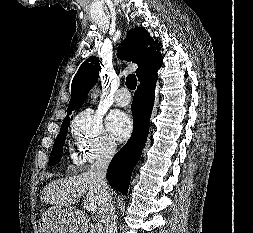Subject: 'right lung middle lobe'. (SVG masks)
Masks as SVG:
<instances>
[{
  "label": "right lung middle lobe",
  "mask_w": 253,
  "mask_h": 233,
  "mask_svg": "<svg viewBox=\"0 0 253 233\" xmlns=\"http://www.w3.org/2000/svg\"><path fill=\"white\" fill-rule=\"evenodd\" d=\"M69 121H70V118L68 117L62 123L60 133L58 134V136L55 140V143H54L51 155H50V159H49L50 166L57 164L61 159V155H62V151H63V144L65 142L67 130L69 127Z\"/></svg>",
  "instance_id": "dd1d6c3e"
}]
</instances>
